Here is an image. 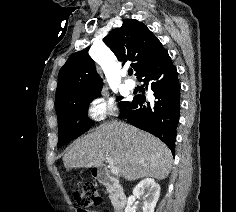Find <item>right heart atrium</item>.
Wrapping results in <instances>:
<instances>
[{"instance_id":"d8ad5b80","label":"right heart atrium","mask_w":236,"mask_h":212,"mask_svg":"<svg viewBox=\"0 0 236 212\" xmlns=\"http://www.w3.org/2000/svg\"><path fill=\"white\" fill-rule=\"evenodd\" d=\"M117 107L113 98L97 97L88 105L87 113L90 119L101 121L116 113Z\"/></svg>"}]
</instances>
